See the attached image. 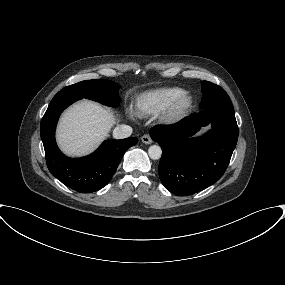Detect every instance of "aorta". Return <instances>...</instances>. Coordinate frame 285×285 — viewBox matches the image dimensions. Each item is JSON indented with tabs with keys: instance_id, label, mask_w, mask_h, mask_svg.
I'll return each mask as SVG.
<instances>
[{
	"instance_id": "obj_1",
	"label": "aorta",
	"mask_w": 285,
	"mask_h": 285,
	"mask_svg": "<svg viewBox=\"0 0 285 285\" xmlns=\"http://www.w3.org/2000/svg\"><path fill=\"white\" fill-rule=\"evenodd\" d=\"M148 155L151 159L157 160L161 157L162 155V149L158 145H152L148 149Z\"/></svg>"
}]
</instances>
